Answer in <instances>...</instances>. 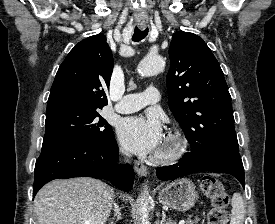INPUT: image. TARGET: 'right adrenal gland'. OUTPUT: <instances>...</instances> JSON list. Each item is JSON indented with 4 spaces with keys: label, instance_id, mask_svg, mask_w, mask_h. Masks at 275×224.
<instances>
[{
    "label": "right adrenal gland",
    "instance_id": "obj_1",
    "mask_svg": "<svg viewBox=\"0 0 275 224\" xmlns=\"http://www.w3.org/2000/svg\"><path fill=\"white\" fill-rule=\"evenodd\" d=\"M114 205V217L112 218L111 224H114L115 221H119L121 219V212H120V207L118 206L117 203H113Z\"/></svg>",
    "mask_w": 275,
    "mask_h": 224
}]
</instances>
